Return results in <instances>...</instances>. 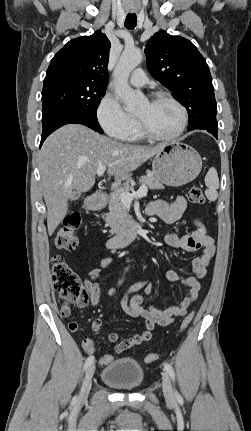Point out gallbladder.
I'll list each match as a JSON object with an SVG mask.
<instances>
[{"instance_id":"obj_1","label":"gallbladder","mask_w":251,"mask_h":431,"mask_svg":"<svg viewBox=\"0 0 251 431\" xmlns=\"http://www.w3.org/2000/svg\"><path fill=\"white\" fill-rule=\"evenodd\" d=\"M80 195H81V193H80V192H75V193L71 196L70 200H71V201H75V200H77V199L80 197Z\"/></svg>"}]
</instances>
